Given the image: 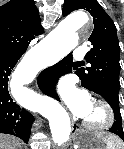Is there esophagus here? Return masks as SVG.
<instances>
[{"mask_svg": "<svg viewBox=\"0 0 124 149\" xmlns=\"http://www.w3.org/2000/svg\"><path fill=\"white\" fill-rule=\"evenodd\" d=\"M73 129L78 130V125L76 123H72Z\"/></svg>", "mask_w": 124, "mask_h": 149, "instance_id": "esophagus-1", "label": "esophagus"}]
</instances>
